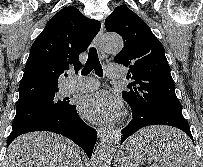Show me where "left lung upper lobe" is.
<instances>
[{
	"instance_id": "obj_1",
	"label": "left lung upper lobe",
	"mask_w": 203,
	"mask_h": 167,
	"mask_svg": "<svg viewBox=\"0 0 203 167\" xmlns=\"http://www.w3.org/2000/svg\"><path fill=\"white\" fill-rule=\"evenodd\" d=\"M105 27L124 40L114 60L129 68L127 79L132 81L122 97L131 109L146 116L182 111L164 47L149 26L128 7L118 6L106 18Z\"/></svg>"
}]
</instances>
